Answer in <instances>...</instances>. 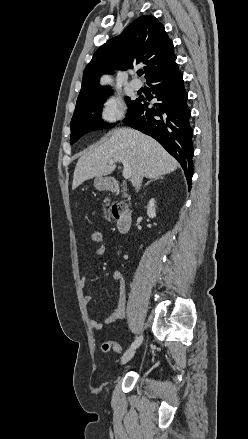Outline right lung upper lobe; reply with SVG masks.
<instances>
[{"instance_id":"right-lung-upper-lobe-1","label":"right lung upper lobe","mask_w":248,"mask_h":439,"mask_svg":"<svg viewBox=\"0 0 248 439\" xmlns=\"http://www.w3.org/2000/svg\"><path fill=\"white\" fill-rule=\"evenodd\" d=\"M121 58L123 64L117 63ZM173 42L164 26L153 16H141L132 22L120 36L110 39L94 53L83 73L82 87L76 108L105 95L99 86V78L105 72L133 68L144 64L147 80L176 64Z\"/></svg>"}]
</instances>
